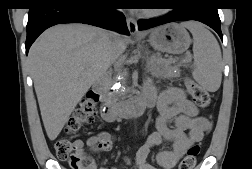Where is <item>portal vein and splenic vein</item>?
I'll return each instance as SVG.
<instances>
[{
	"instance_id": "1",
	"label": "portal vein and splenic vein",
	"mask_w": 252,
	"mask_h": 169,
	"mask_svg": "<svg viewBox=\"0 0 252 169\" xmlns=\"http://www.w3.org/2000/svg\"><path fill=\"white\" fill-rule=\"evenodd\" d=\"M185 62H191L192 61V56L191 55H187V57L184 60Z\"/></svg>"
}]
</instances>
